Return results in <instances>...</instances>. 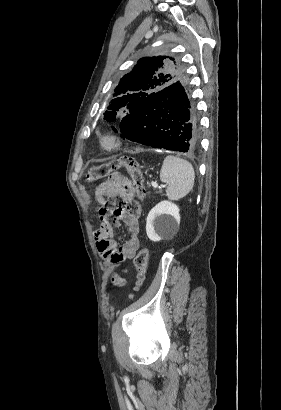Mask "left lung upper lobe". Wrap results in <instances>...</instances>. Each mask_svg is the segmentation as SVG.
Listing matches in <instances>:
<instances>
[{
	"instance_id": "1",
	"label": "left lung upper lobe",
	"mask_w": 281,
	"mask_h": 410,
	"mask_svg": "<svg viewBox=\"0 0 281 410\" xmlns=\"http://www.w3.org/2000/svg\"><path fill=\"white\" fill-rule=\"evenodd\" d=\"M181 80H185V73L173 58L158 56L140 59L116 87L115 98L104 113V119L112 122L119 119L122 113L140 112L155 93Z\"/></svg>"
}]
</instances>
